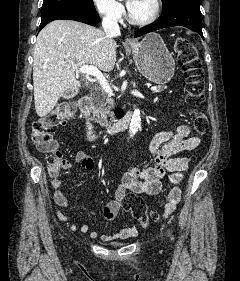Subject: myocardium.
I'll list each match as a JSON object with an SVG mask.
<instances>
[{
    "mask_svg": "<svg viewBox=\"0 0 240 281\" xmlns=\"http://www.w3.org/2000/svg\"><path fill=\"white\" fill-rule=\"evenodd\" d=\"M152 4H153V9L151 14L144 19H136L131 15L130 11H128L127 18L129 23L135 26H146L153 23L159 16L160 8H161V0H152Z\"/></svg>",
    "mask_w": 240,
    "mask_h": 281,
    "instance_id": "myocardium-1",
    "label": "myocardium"
}]
</instances>
